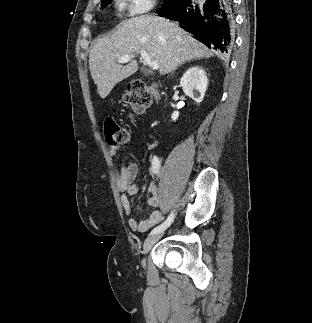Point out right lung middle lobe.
Returning a JSON list of instances; mask_svg holds the SVG:
<instances>
[{"label":"right lung middle lobe","mask_w":312,"mask_h":323,"mask_svg":"<svg viewBox=\"0 0 312 323\" xmlns=\"http://www.w3.org/2000/svg\"><path fill=\"white\" fill-rule=\"evenodd\" d=\"M112 0H108L105 3L101 4V7H103L104 5H106L107 3L111 2ZM180 0H164L163 5H162V9H166V8H171L173 7L176 3H178Z\"/></svg>","instance_id":"1"}]
</instances>
